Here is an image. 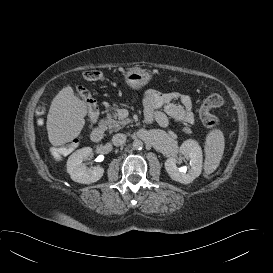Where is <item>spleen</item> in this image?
Segmentation results:
<instances>
[{
	"label": "spleen",
	"instance_id": "spleen-1",
	"mask_svg": "<svg viewBox=\"0 0 273 273\" xmlns=\"http://www.w3.org/2000/svg\"><path fill=\"white\" fill-rule=\"evenodd\" d=\"M225 139L220 129L211 130L205 141L204 172L206 175L213 173L220 164L224 153Z\"/></svg>",
	"mask_w": 273,
	"mask_h": 273
}]
</instances>
